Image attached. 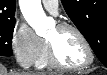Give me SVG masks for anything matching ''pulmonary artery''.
Returning <instances> with one entry per match:
<instances>
[{
    "instance_id": "e3ab8cb5",
    "label": "pulmonary artery",
    "mask_w": 107,
    "mask_h": 75,
    "mask_svg": "<svg viewBox=\"0 0 107 75\" xmlns=\"http://www.w3.org/2000/svg\"><path fill=\"white\" fill-rule=\"evenodd\" d=\"M44 8L51 14L56 15L58 12V0H42Z\"/></svg>"
}]
</instances>
